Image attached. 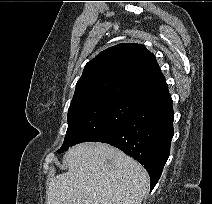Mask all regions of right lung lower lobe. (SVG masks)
<instances>
[{"label":"right lung lower lobe","instance_id":"right-lung-lower-lobe-1","mask_svg":"<svg viewBox=\"0 0 212 204\" xmlns=\"http://www.w3.org/2000/svg\"><path fill=\"white\" fill-rule=\"evenodd\" d=\"M172 137V99L167 91L143 103L123 124L93 142L108 143L139 161L150 175L152 190L168 160Z\"/></svg>","mask_w":212,"mask_h":204}]
</instances>
